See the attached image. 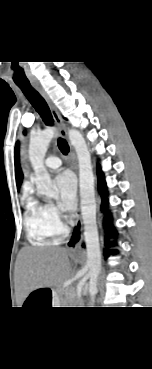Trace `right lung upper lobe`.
I'll use <instances>...</instances> for the list:
<instances>
[{"label": "right lung upper lobe", "instance_id": "obj_1", "mask_svg": "<svg viewBox=\"0 0 152 369\" xmlns=\"http://www.w3.org/2000/svg\"><path fill=\"white\" fill-rule=\"evenodd\" d=\"M18 145L19 143H17L16 150H15V172H16V184L19 189L22 183L23 174L21 172V169L18 163Z\"/></svg>", "mask_w": 152, "mask_h": 369}]
</instances>
